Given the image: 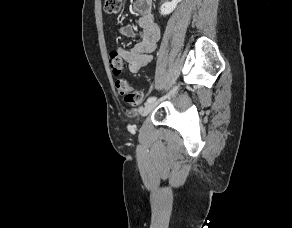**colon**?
I'll list each match as a JSON object with an SVG mask.
<instances>
[{"instance_id": "colon-1", "label": "colon", "mask_w": 292, "mask_h": 228, "mask_svg": "<svg viewBox=\"0 0 292 228\" xmlns=\"http://www.w3.org/2000/svg\"><path fill=\"white\" fill-rule=\"evenodd\" d=\"M122 0H105V10L109 14H115L120 11ZM110 66L114 74L119 75L122 72V61L115 55L110 54ZM116 87L124 100L131 106H138L143 101V94L133 89L127 80L119 79L116 82Z\"/></svg>"}]
</instances>
